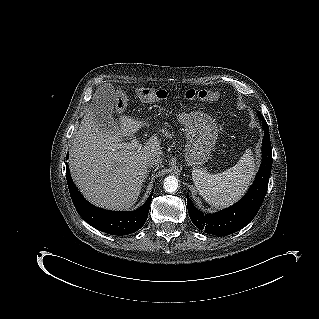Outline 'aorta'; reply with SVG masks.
<instances>
[{
	"mask_svg": "<svg viewBox=\"0 0 319 319\" xmlns=\"http://www.w3.org/2000/svg\"><path fill=\"white\" fill-rule=\"evenodd\" d=\"M178 179L175 176H167L164 179V189L166 192L173 193L178 189Z\"/></svg>",
	"mask_w": 319,
	"mask_h": 319,
	"instance_id": "1",
	"label": "aorta"
}]
</instances>
